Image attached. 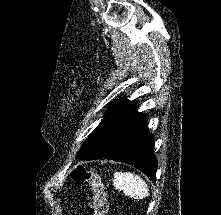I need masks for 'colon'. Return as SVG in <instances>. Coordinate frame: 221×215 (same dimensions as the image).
I'll return each instance as SVG.
<instances>
[{"label":"colon","instance_id":"obj_1","mask_svg":"<svg viewBox=\"0 0 221 215\" xmlns=\"http://www.w3.org/2000/svg\"><path fill=\"white\" fill-rule=\"evenodd\" d=\"M72 178L77 184L87 185L91 191L90 215H107L108 202L101 176L91 169L82 166L73 172Z\"/></svg>","mask_w":221,"mask_h":215}]
</instances>
